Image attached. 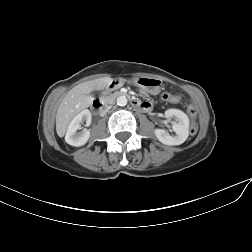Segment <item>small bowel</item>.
Instances as JSON below:
<instances>
[{"label": "small bowel", "instance_id": "1", "mask_svg": "<svg viewBox=\"0 0 252 252\" xmlns=\"http://www.w3.org/2000/svg\"><path fill=\"white\" fill-rule=\"evenodd\" d=\"M151 108V103L148 101L142 102V109L143 111H148Z\"/></svg>", "mask_w": 252, "mask_h": 252}]
</instances>
